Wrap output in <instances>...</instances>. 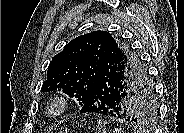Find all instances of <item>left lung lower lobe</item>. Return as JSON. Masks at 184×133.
<instances>
[{
	"instance_id": "1",
	"label": "left lung lower lobe",
	"mask_w": 184,
	"mask_h": 133,
	"mask_svg": "<svg viewBox=\"0 0 184 133\" xmlns=\"http://www.w3.org/2000/svg\"><path fill=\"white\" fill-rule=\"evenodd\" d=\"M100 68L101 75L98 82L89 99L83 104L80 113H98L130 122L126 106L132 92L127 93L125 77L120 70L122 67H116L115 62L105 56L100 62ZM141 89L145 94L152 92L146 85H142ZM136 128L139 127L136 126Z\"/></svg>"
}]
</instances>
